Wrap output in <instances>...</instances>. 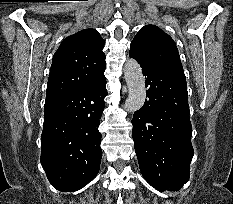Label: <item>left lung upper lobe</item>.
Segmentation results:
<instances>
[{
  "mask_svg": "<svg viewBox=\"0 0 233 204\" xmlns=\"http://www.w3.org/2000/svg\"><path fill=\"white\" fill-rule=\"evenodd\" d=\"M130 54L169 70L184 73L172 38L155 25H147L131 42Z\"/></svg>",
  "mask_w": 233,
  "mask_h": 204,
  "instance_id": "left-lung-upper-lobe-1",
  "label": "left lung upper lobe"
}]
</instances>
